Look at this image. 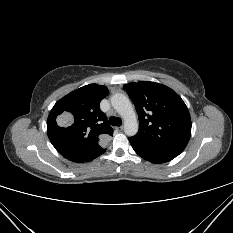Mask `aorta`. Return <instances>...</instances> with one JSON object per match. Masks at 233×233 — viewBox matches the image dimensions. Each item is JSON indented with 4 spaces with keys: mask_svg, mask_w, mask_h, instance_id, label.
Listing matches in <instances>:
<instances>
[{
    "mask_svg": "<svg viewBox=\"0 0 233 233\" xmlns=\"http://www.w3.org/2000/svg\"><path fill=\"white\" fill-rule=\"evenodd\" d=\"M112 107L124 120V132L128 136H134L138 132L136 112L129 98L121 93L111 96Z\"/></svg>",
    "mask_w": 233,
    "mask_h": 233,
    "instance_id": "762f6f07",
    "label": "aorta"
}]
</instances>
